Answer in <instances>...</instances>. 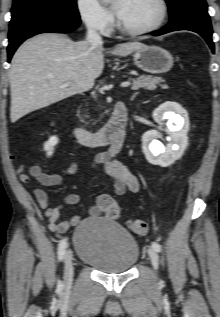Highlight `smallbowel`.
<instances>
[{
    "label": "small bowel",
    "instance_id": "small-bowel-1",
    "mask_svg": "<svg viewBox=\"0 0 220 317\" xmlns=\"http://www.w3.org/2000/svg\"><path fill=\"white\" fill-rule=\"evenodd\" d=\"M120 148L112 147L110 151L101 153L96 156L93 161V166L102 165L105 173L112 179L114 183V192L116 195H123L125 192H137L140 189L137 177L131 173L122 163L115 159ZM77 163L71 164L66 173L74 175L77 172ZM30 179L35 180L43 186L51 187L59 185L63 180V175L60 173H45L38 166H32L29 173L23 171L19 172V180L22 183H27ZM34 196L39 206L45 211L48 218L49 227L51 230L58 233L67 232L70 227L79 224L81 218L77 215L72 216L67 220H59L61 207H51L47 193L41 188L34 189ZM110 197L108 194H99L96 197V203L89 208L91 216L102 215L103 202L106 198ZM80 197L76 193L68 194L64 197L63 203L66 205H74L78 203Z\"/></svg>",
    "mask_w": 220,
    "mask_h": 317
}]
</instances>
